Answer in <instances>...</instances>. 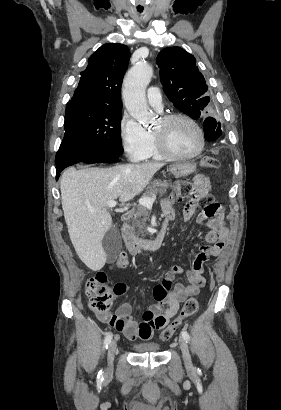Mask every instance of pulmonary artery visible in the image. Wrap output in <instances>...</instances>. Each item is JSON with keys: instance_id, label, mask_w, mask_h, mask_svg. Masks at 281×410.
Returning a JSON list of instances; mask_svg holds the SVG:
<instances>
[{"instance_id": "e3ab8cb5", "label": "pulmonary artery", "mask_w": 281, "mask_h": 410, "mask_svg": "<svg viewBox=\"0 0 281 410\" xmlns=\"http://www.w3.org/2000/svg\"><path fill=\"white\" fill-rule=\"evenodd\" d=\"M147 98L149 104L157 111H162V95L158 87H150L147 90Z\"/></svg>"}]
</instances>
